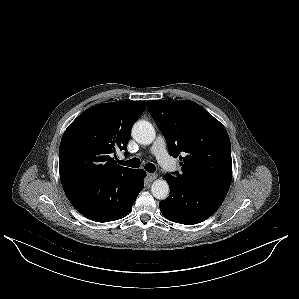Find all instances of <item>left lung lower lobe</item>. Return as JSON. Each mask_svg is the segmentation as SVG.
I'll return each mask as SVG.
<instances>
[{"mask_svg": "<svg viewBox=\"0 0 299 299\" xmlns=\"http://www.w3.org/2000/svg\"><path fill=\"white\" fill-rule=\"evenodd\" d=\"M170 195L159 203L164 217L185 225L209 218L224 201L229 186L209 181H180L166 174Z\"/></svg>", "mask_w": 299, "mask_h": 299, "instance_id": "0a47b994", "label": "left lung lower lobe"}]
</instances>
